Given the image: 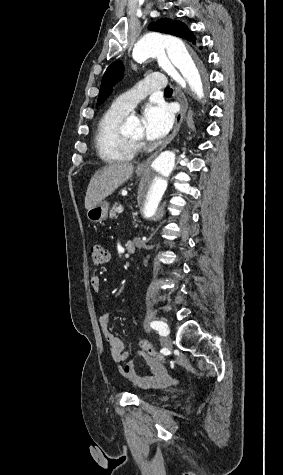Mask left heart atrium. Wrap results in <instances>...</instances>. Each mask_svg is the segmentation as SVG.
<instances>
[{"label": "left heart atrium", "mask_w": 283, "mask_h": 475, "mask_svg": "<svg viewBox=\"0 0 283 475\" xmlns=\"http://www.w3.org/2000/svg\"><path fill=\"white\" fill-rule=\"evenodd\" d=\"M173 121V111L168 104L155 102L148 105L142 115L144 136L149 140L163 138L171 130Z\"/></svg>", "instance_id": "1"}]
</instances>
